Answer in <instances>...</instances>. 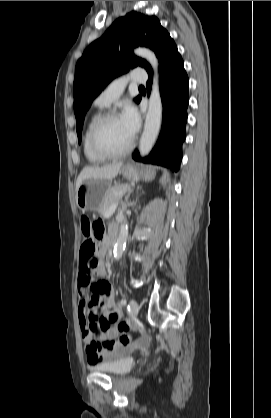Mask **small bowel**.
Segmentation results:
<instances>
[{"instance_id":"small-bowel-1","label":"small bowel","mask_w":271,"mask_h":418,"mask_svg":"<svg viewBox=\"0 0 271 418\" xmlns=\"http://www.w3.org/2000/svg\"><path fill=\"white\" fill-rule=\"evenodd\" d=\"M113 229L116 228L112 227L111 231ZM105 245L101 241L95 253V242L82 238L80 249L76 250V261L80 262L78 317L90 365L109 360L133 347L131 342L124 344L119 340L122 335H127V331L121 332L118 328L123 322L122 313L115 304L112 286L104 280L106 269L105 257L102 255ZM91 275H97L101 280L92 283ZM97 308L102 310L101 317L97 315ZM93 328L98 329V334L93 333ZM94 343L98 344L95 348Z\"/></svg>"}]
</instances>
